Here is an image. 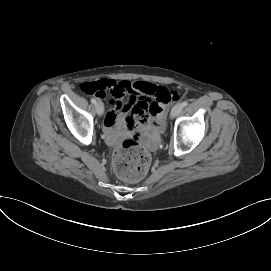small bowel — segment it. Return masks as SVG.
I'll return each instance as SVG.
<instances>
[{
  "label": "small bowel",
  "mask_w": 271,
  "mask_h": 271,
  "mask_svg": "<svg viewBox=\"0 0 271 271\" xmlns=\"http://www.w3.org/2000/svg\"><path fill=\"white\" fill-rule=\"evenodd\" d=\"M106 91L98 96L104 98L106 92L112 96V108L106 113L104 130L106 140L116 144L122 136V130L140 136L144 131L151 129L154 134L162 130L164 125V108L167 101L157 97L159 90H167L162 86L138 81H116L113 79L102 80ZM129 96V102L124 104L123 98ZM128 112L131 116H128Z\"/></svg>",
  "instance_id": "small-bowel-1"
}]
</instances>
